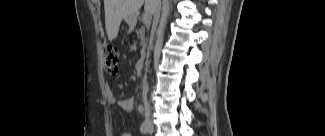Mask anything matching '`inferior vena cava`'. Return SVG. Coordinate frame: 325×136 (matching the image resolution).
I'll list each match as a JSON object with an SVG mask.
<instances>
[{"label":"inferior vena cava","instance_id":"602c4592","mask_svg":"<svg viewBox=\"0 0 325 136\" xmlns=\"http://www.w3.org/2000/svg\"><path fill=\"white\" fill-rule=\"evenodd\" d=\"M153 8H154V26L158 24L160 18V10H161V1L153 0Z\"/></svg>","mask_w":325,"mask_h":136}]
</instances>
